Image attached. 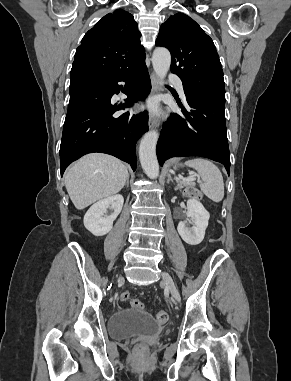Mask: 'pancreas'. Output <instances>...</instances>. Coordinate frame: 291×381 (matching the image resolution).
<instances>
[{
    "label": "pancreas",
    "instance_id": "obj_1",
    "mask_svg": "<svg viewBox=\"0 0 291 381\" xmlns=\"http://www.w3.org/2000/svg\"><path fill=\"white\" fill-rule=\"evenodd\" d=\"M177 183H178L181 187H183V186H189V187H191L192 189L195 190V188L193 187V186H194V183H193L192 181H190V180L180 178V179H177Z\"/></svg>",
    "mask_w": 291,
    "mask_h": 381
}]
</instances>
